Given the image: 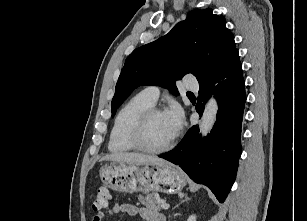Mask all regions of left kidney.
<instances>
[{
  "label": "left kidney",
  "mask_w": 307,
  "mask_h": 221,
  "mask_svg": "<svg viewBox=\"0 0 307 221\" xmlns=\"http://www.w3.org/2000/svg\"><path fill=\"white\" fill-rule=\"evenodd\" d=\"M187 221H196V216H195V215L189 216V218L187 219Z\"/></svg>",
  "instance_id": "obj_1"
}]
</instances>
